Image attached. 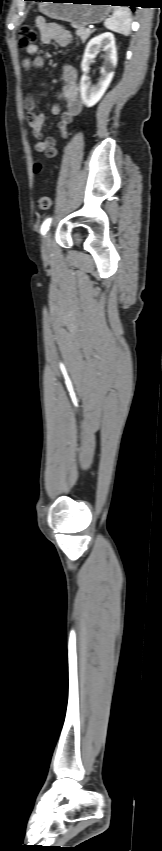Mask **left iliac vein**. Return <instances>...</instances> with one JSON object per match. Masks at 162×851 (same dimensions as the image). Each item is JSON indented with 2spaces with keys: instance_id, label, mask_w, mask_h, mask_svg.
<instances>
[{
  "instance_id": "obj_1",
  "label": "left iliac vein",
  "mask_w": 162,
  "mask_h": 851,
  "mask_svg": "<svg viewBox=\"0 0 162 851\" xmlns=\"http://www.w3.org/2000/svg\"><path fill=\"white\" fill-rule=\"evenodd\" d=\"M41 251L44 257H49L51 253V232H47L42 238Z\"/></svg>"
}]
</instances>
